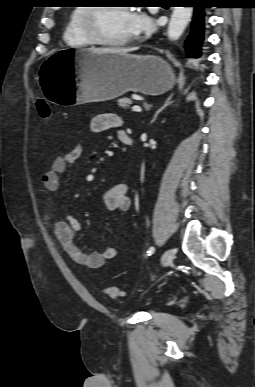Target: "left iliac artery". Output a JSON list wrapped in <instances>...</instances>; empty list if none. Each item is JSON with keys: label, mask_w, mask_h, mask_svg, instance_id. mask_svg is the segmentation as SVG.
Wrapping results in <instances>:
<instances>
[{"label": "left iliac artery", "mask_w": 255, "mask_h": 387, "mask_svg": "<svg viewBox=\"0 0 255 387\" xmlns=\"http://www.w3.org/2000/svg\"><path fill=\"white\" fill-rule=\"evenodd\" d=\"M154 251H155V248L154 247H150L149 249H148V251H147V255H152L153 253H154Z\"/></svg>", "instance_id": "obj_1"}]
</instances>
